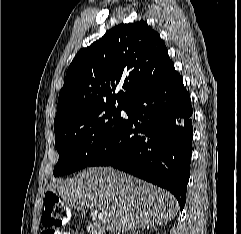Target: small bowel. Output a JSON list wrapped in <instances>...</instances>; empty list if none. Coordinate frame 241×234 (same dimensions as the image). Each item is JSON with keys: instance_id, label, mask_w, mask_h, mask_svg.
Listing matches in <instances>:
<instances>
[{"instance_id": "small-bowel-1", "label": "small bowel", "mask_w": 241, "mask_h": 234, "mask_svg": "<svg viewBox=\"0 0 241 234\" xmlns=\"http://www.w3.org/2000/svg\"><path fill=\"white\" fill-rule=\"evenodd\" d=\"M42 234H70V233L65 232V231H61V230H48V229H46L42 232Z\"/></svg>"}]
</instances>
